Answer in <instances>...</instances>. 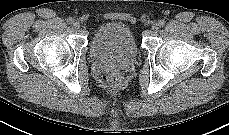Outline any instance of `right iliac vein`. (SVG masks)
<instances>
[{
	"label": "right iliac vein",
	"instance_id": "63e3f726",
	"mask_svg": "<svg viewBox=\"0 0 229 135\" xmlns=\"http://www.w3.org/2000/svg\"><path fill=\"white\" fill-rule=\"evenodd\" d=\"M73 27H74L75 29H79V28H80V23H79L78 21H75V22L73 23Z\"/></svg>",
	"mask_w": 229,
	"mask_h": 135
}]
</instances>
